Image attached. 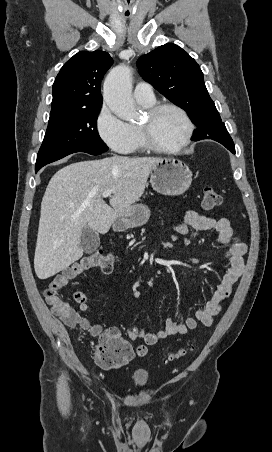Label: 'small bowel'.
Instances as JSON below:
<instances>
[{
    "mask_svg": "<svg viewBox=\"0 0 272 452\" xmlns=\"http://www.w3.org/2000/svg\"><path fill=\"white\" fill-rule=\"evenodd\" d=\"M190 229L199 231L215 230L218 232V241L223 246L227 247L225 257L228 260V267L219 283L217 290L212 298L205 304L204 307L199 308L195 317H188L184 321H176L171 318L165 320L164 329L157 332H150L145 328L138 326H131L127 328V336L131 340L141 339L146 348L147 346L155 345L160 340L172 335H184L188 331L197 327L198 323L204 326H211L214 317L220 312L222 303L227 299L233 290V285L243 275L245 270L244 256L247 253V245L239 240L233 232L231 221L226 217L214 218L211 216L202 215L196 211L189 210L185 212L182 221L175 224V231L181 235H187ZM189 239L184 238L183 245L188 246ZM74 301L79 305L81 312L89 310L88 297L82 291H75L73 294ZM61 320L70 328H78L81 330H88L94 337L101 335L114 336L123 339L121 332L116 328L104 329L101 325H91L87 319L82 317L77 311L72 310L70 315L60 317ZM124 340V339H123ZM125 341V340H124ZM128 345V343L125 341ZM129 346V345H128ZM130 359L136 354L131 347ZM147 353V352H146ZM138 355L137 356H145Z\"/></svg>",
    "mask_w": 272,
    "mask_h": 452,
    "instance_id": "c3829d8e",
    "label": "small bowel"
}]
</instances>
